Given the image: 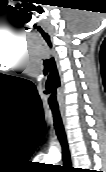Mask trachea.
<instances>
[{
    "label": "trachea",
    "instance_id": "obj_1",
    "mask_svg": "<svg viewBox=\"0 0 106 172\" xmlns=\"http://www.w3.org/2000/svg\"><path fill=\"white\" fill-rule=\"evenodd\" d=\"M51 110L56 134L62 146L63 161L65 165L70 166V153L60 111L58 108L54 107H51Z\"/></svg>",
    "mask_w": 106,
    "mask_h": 172
}]
</instances>
